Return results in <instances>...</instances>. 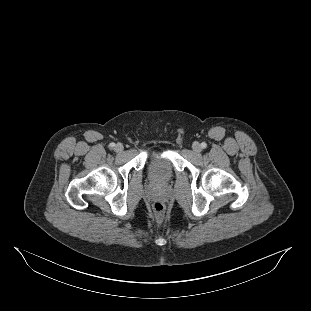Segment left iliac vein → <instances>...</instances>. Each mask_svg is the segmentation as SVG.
<instances>
[{"instance_id":"1","label":"left iliac vein","mask_w":311,"mask_h":311,"mask_svg":"<svg viewBox=\"0 0 311 311\" xmlns=\"http://www.w3.org/2000/svg\"><path fill=\"white\" fill-rule=\"evenodd\" d=\"M194 152L199 153L201 151V145L198 142H194L192 145Z\"/></svg>"}]
</instances>
